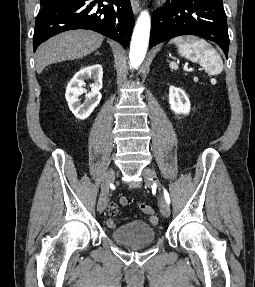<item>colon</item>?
Wrapping results in <instances>:
<instances>
[{
  "label": "colon",
  "instance_id": "obj_1",
  "mask_svg": "<svg viewBox=\"0 0 255 287\" xmlns=\"http://www.w3.org/2000/svg\"><path fill=\"white\" fill-rule=\"evenodd\" d=\"M140 209H141L145 214H147V215H149V216H152V215L155 216V210H154L151 206H149V205H147V204H145V203H141V204H140Z\"/></svg>",
  "mask_w": 255,
  "mask_h": 287
}]
</instances>
